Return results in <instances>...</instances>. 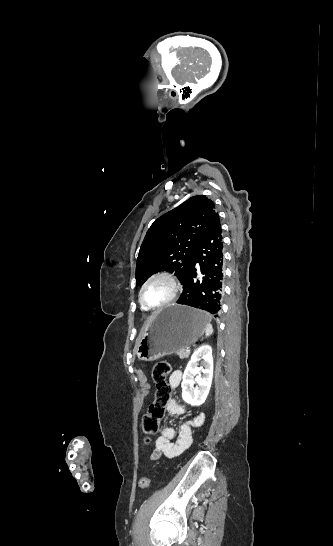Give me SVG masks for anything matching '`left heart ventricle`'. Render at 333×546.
Returning <instances> with one entry per match:
<instances>
[{
    "label": "left heart ventricle",
    "mask_w": 333,
    "mask_h": 546,
    "mask_svg": "<svg viewBox=\"0 0 333 546\" xmlns=\"http://www.w3.org/2000/svg\"><path fill=\"white\" fill-rule=\"evenodd\" d=\"M172 294V286L164 279L152 281L144 291V299L150 306L160 305Z\"/></svg>",
    "instance_id": "1"
}]
</instances>
